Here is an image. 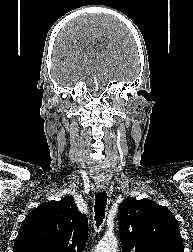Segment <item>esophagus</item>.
Wrapping results in <instances>:
<instances>
[{"instance_id":"34e87169","label":"esophagus","mask_w":193,"mask_h":252,"mask_svg":"<svg viewBox=\"0 0 193 252\" xmlns=\"http://www.w3.org/2000/svg\"><path fill=\"white\" fill-rule=\"evenodd\" d=\"M105 188H106V185L105 184H98L97 185V190L99 191V192H103L104 190H105Z\"/></svg>"}]
</instances>
